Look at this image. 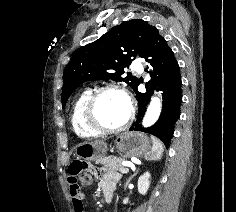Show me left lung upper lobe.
Instances as JSON below:
<instances>
[{
  "label": "left lung upper lobe",
  "instance_id": "1",
  "mask_svg": "<svg viewBox=\"0 0 236 212\" xmlns=\"http://www.w3.org/2000/svg\"><path fill=\"white\" fill-rule=\"evenodd\" d=\"M153 28L144 20L132 19L115 26L96 41L76 51L64 70L61 95L63 107L72 92L86 81H123L135 90L139 80L134 76L122 75L132 57L144 56Z\"/></svg>",
  "mask_w": 236,
  "mask_h": 212
}]
</instances>
